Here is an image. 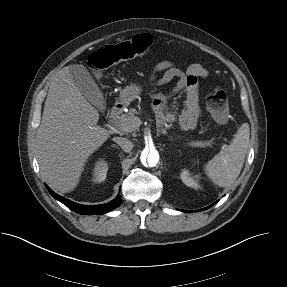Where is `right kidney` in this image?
Segmentation results:
<instances>
[{
  "instance_id": "obj_1",
  "label": "right kidney",
  "mask_w": 287,
  "mask_h": 287,
  "mask_svg": "<svg viewBox=\"0 0 287 287\" xmlns=\"http://www.w3.org/2000/svg\"><path fill=\"white\" fill-rule=\"evenodd\" d=\"M107 171H108V163L104 159L98 160L93 168L92 173L93 182L98 183L104 181L106 179Z\"/></svg>"
}]
</instances>
